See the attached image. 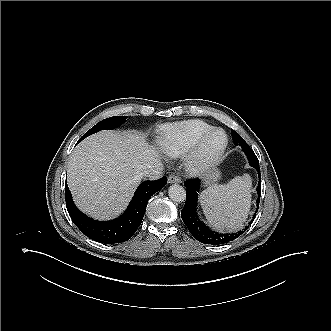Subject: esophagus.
Wrapping results in <instances>:
<instances>
[{
  "mask_svg": "<svg viewBox=\"0 0 331 331\" xmlns=\"http://www.w3.org/2000/svg\"><path fill=\"white\" fill-rule=\"evenodd\" d=\"M180 182H181L180 177L175 174H171L168 177V183H180Z\"/></svg>",
  "mask_w": 331,
  "mask_h": 331,
  "instance_id": "34e87169",
  "label": "esophagus"
}]
</instances>
